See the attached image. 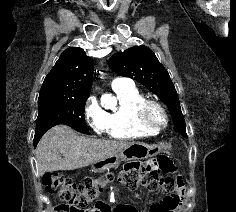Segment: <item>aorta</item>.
Masks as SVG:
<instances>
[{
	"instance_id": "obj_1",
	"label": "aorta",
	"mask_w": 236,
	"mask_h": 212,
	"mask_svg": "<svg viewBox=\"0 0 236 212\" xmlns=\"http://www.w3.org/2000/svg\"><path fill=\"white\" fill-rule=\"evenodd\" d=\"M109 99L112 101L113 104H115V99L114 98H110Z\"/></svg>"
}]
</instances>
